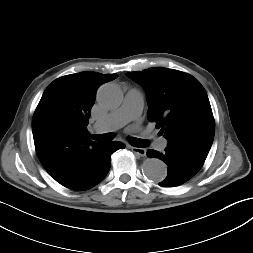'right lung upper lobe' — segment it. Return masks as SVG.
I'll list each match as a JSON object with an SVG mask.
<instances>
[{
  "label": "right lung upper lobe",
  "mask_w": 253,
  "mask_h": 253,
  "mask_svg": "<svg viewBox=\"0 0 253 253\" xmlns=\"http://www.w3.org/2000/svg\"><path fill=\"white\" fill-rule=\"evenodd\" d=\"M117 77L70 74L54 80L42 95L32 120L35 149L47 172L65 187L86 177L102 146L90 140L86 126L98 87Z\"/></svg>",
  "instance_id": "cb5924a9"
}]
</instances>
